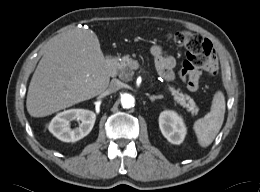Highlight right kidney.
Wrapping results in <instances>:
<instances>
[{"instance_id":"obj_1","label":"right kidney","mask_w":260,"mask_h":192,"mask_svg":"<svg viewBox=\"0 0 260 192\" xmlns=\"http://www.w3.org/2000/svg\"><path fill=\"white\" fill-rule=\"evenodd\" d=\"M80 120L78 128L69 127L71 120ZM96 120V114L86 109H69L57 114L49 124V131L64 142H76L90 133Z\"/></svg>"}]
</instances>
